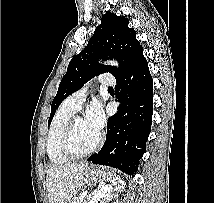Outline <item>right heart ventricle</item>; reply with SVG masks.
Returning <instances> with one entry per match:
<instances>
[{
	"label": "right heart ventricle",
	"instance_id": "e07e8e85",
	"mask_svg": "<svg viewBox=\"0 0 214 203\" xmlns=\"http://www.w3.org/2000/svg\"><path fill=\"white\" fill-rule=\"evenodd\" d=\"M76 111L75 108L69 105L66 99L57 110L51 122L47 135L46 151L50 161L55 165H63L71 160L61 150V139L68 122Z\"/></svg>",
	"mask_w": 214,
	"mask_h": 203
}]
</instances>
